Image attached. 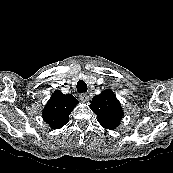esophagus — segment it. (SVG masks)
Returning <instances> with one entry per match:
<instances>
[{"label":"esophagus","instance_id":"34e87169","mask_svg":"<svg viewBox=\"0 0 173 173\" xmlns=\"http://www.w3.org/2000/svg\"><path fill=\"white\" fill-rule=\"evenodd\" d=\"M79 97H80V100L84 102L89 100V96L86 93L80 94Z\"/></svg>","mask_w":173,"mask_h":173}]
</instances>
